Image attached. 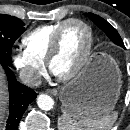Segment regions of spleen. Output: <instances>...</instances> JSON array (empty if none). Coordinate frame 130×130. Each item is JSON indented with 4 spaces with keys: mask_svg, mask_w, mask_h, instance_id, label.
I'll list each match as a JSON object with an SVG mask.
<instances>
[{
    "mask_svg": "<svg viewBox=\"0 0 130 130\" xmlns=\"http://www.w3.org/2000/svg\"><path fill=\"white\" fill-rule=\"evenodd\" d=\"M117 117L118 113L113 112L99 119L85 118L77 122L63 114L58 118V130H109Z\"/></svg>",
    "mask_w": 130,
    "mask_h": 130,
    "instance_id": "3e777b00",
    "label": "spleen"
}]
</instances>
